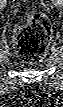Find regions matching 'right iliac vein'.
I'll use <instances>...</instances> for the list:
<instances>
[{
  "mask_svg": "<svg viewBox=\"0 0 63 107\" xmlns=\"http://www.w3.org/2000/svg\"><path fill=\"white\" fill-rule=\"evenodd\" d=\"M6 6V0L0 1V7L3 9Z\"/></svg>",
  "mask_w": 63,
  "mask_h": 107,
  "instance_id": "right-iliac-vein-1",
  "label": "right iliac vein"
}]
</instances>
